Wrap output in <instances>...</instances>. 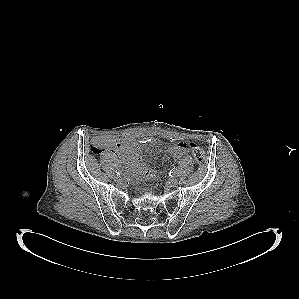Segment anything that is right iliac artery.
<instances>
[{
    "label": "right iliac artery",
    "mask_w": 299,
    "mask_h": 299,
    "mask_svg": "<svg viewBox=\"0 0 299 299\" xmlns=\"http://www.w3.org/2000/svg\"><path fill=\"white\" fill-rule=\"evenodd\" d=\"M121 173H122V170H120V169L116 170L117 175H120Z\"/></svg>",
    "instance_id": "82829eb1"
}]
</instances>
